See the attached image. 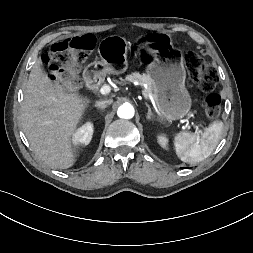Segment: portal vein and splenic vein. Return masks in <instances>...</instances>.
Here are the masks:
<instances>
[{
  "label": "portal vein and splenic vein",
  "mask_w": 253,
  "mask_h": 253,
  "mask_svg": "<svg viewBox=\"0 0 253 253\" xmlns=\"http://www.w3.org/2000/svg\"><path fill=\"white\" fill-rule=\"evenodd\" d=\"M110 91H111V88H110L109 85H103V86L100 88V90H99L100 94H102V95H106V94H108ZM146 98H147V97H146ZM189 126H193V127L195 128L197 134L201 133V130L199 129V127H198L197 125H195L194 123H189V122H187V123H186V127H189Z\"/></svg>",
  "instance_id": "obj_1"
}]
</instances>
